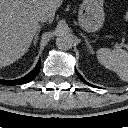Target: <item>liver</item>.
Listing matches in <instances>:
<instances>
[{
    "label": "liver",
    "instance_id": "obj_1",
    "mask_svg": "<svg viewBox=\"0 0 128 128\" xmlns=\"http://www.w3.org/2000/svg\"><path fill=\"white\" fill-rule=\"evenodd\" d=\"M63 0H0V68L22 57L39 29L37 16L53 21Z\"/></svg>",
    "mask_w": 128,
    "mask_h": 128
}]
</instances>
